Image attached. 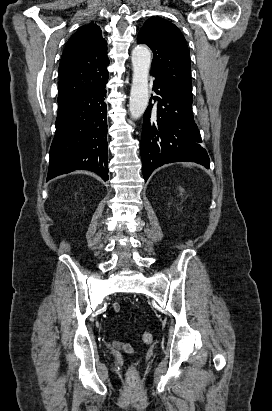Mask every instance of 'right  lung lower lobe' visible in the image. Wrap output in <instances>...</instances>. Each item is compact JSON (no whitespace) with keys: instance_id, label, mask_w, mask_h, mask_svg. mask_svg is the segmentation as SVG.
<instances>
[{"instance_id":"98d812e1","label":"right lung lower lobe","mask_w":272,"mask_h":411,"mask_svg":"<svg viewBox=\"0 0 272 411\" xmlns=\"http://www.w3.org/2000/svg\"><path fill=\"white\" fill-rule=\"evenodd\" d=\"M107 81L58 103L47 181L78 169L93 171L108 180Z\"/></svg>"}]
</instances>
